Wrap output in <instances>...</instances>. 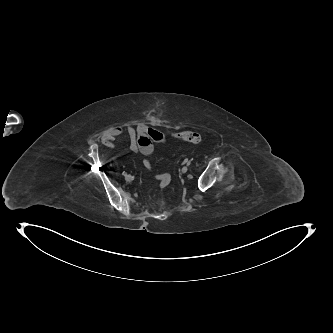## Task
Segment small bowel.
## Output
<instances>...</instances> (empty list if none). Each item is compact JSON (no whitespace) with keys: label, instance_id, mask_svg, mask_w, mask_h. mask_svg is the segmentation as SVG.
Returning a JSON list of instances; mask_svg holds the SVG:
<instances>
[{"label":"small bowel","instance_id":"small-bowel-1","mask_svg":"<svg viewBox=\"0 0 333 333\" xmlns=\"http://www.w3.org/2000/svg\"><path fill=\"white\" fill-rule=\"evenodd\" d=\"M124 134L129 137L130 150L143 156H151L153 154L154 143L166 142L165 135L161 131L144 123L136 126L111 127L102 134L100 140L104 146L114 148L116 139Z\"/></svg>","mask_w":333,"mask_h":333}]
</instances>
